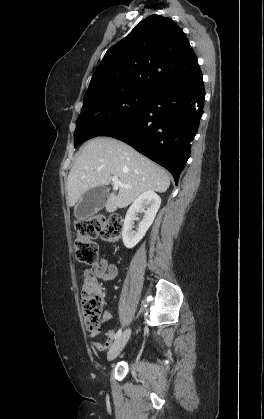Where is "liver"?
<instances>
[{
  "label": "liver",
  "instance_id": "1",
  "mask_svg": "<svg viewBox=\"0 0 264 419\" xmlns=\"http://www.w3.org/2000/svg\"><path fill=\"white\" fill-rule=\"evenodd\" d=\"M129 185L111 193L105 208L114 212L131 204L146 191L164 193L170 186L165 170L114 138L97 137L88 141L69 172L67 179L68 205L74 206L88 190L109 185L112 177Z\"/></svg>",
  "mask_w": 264,
  "mask_h": 419
}]
</instances>
